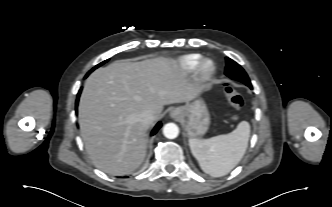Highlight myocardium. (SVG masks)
Segmentation results:
<instances>
[{
	"label": "myocardium",
	"mask_w": 332,
	"mask_h": 207,
	"mask_svg": "<svg viewBox=\"0 0 332 207\" xmlns=\"http://www.w3.org/2000/svg\"><path fill=\"white\" fill-rule=\"evenodd\" d=\"M215 62L210 58L202 59L197 67L196 74L201 80H209L215 72Z\"/></svg>",
	"instance_id": "1"
}]
</instances>
